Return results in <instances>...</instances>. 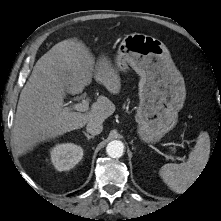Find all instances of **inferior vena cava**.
Wrapping results in <instances>:
<instances>
[{
    "label": "inferior vena cava",
    "mask_w": 221,
    "mask_h": 221,
    "mask_svg": "<svg viewBox=\"0 0 221 221\" xmlns=\"http://www.w3.org/2000/svg\"><path fill=\"white\" fill-rule=\"evenodd\" d=\"M87 132H89L92 135H98L103 130L102 122L99 120H92L87 123Z\"/></svg>",
    "instance_id": "obj_1"
}]
</instances>
